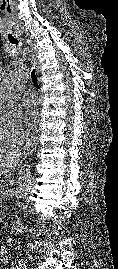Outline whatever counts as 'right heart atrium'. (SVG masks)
<instances>
[{
	"instance_id": "right-heart-atrium-1",
	"label": "right heart atrium",
	"mask_w": 118,
	"mask_h": 269,
	"mask_svg": "<svg viewBox=\"0 0 118 269\" xmlns=\"http://www.w3.org/2000/svg\"><path fill=\"white\" fill-rule=\"evenodd\" d=\"M30 138L29 132L25 129L19 116L5 118L0 115V140L6 144L20 145Z\"/></svg>"
}]
</instances>
